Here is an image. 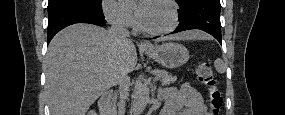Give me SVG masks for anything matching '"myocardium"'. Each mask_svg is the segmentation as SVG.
<instances>
[{
	"mask_svg": "<svg viewBox=\"0 0 285 115\" xmlns=\"http://www.w3.org/2000/svg\"><path fill=\"white\" fill-rule=\"evenodd\" d=\"M154 1H161L166 3L170 9H171V15H172V24L165 29L162 30H149L147 28H145L142 23L139 24V29L148 34V35H152V36H162V35H166L169 34L171 32H173L178 24H179V10H178V5L176 4L175 1L173 0H154ZM154 1H150V2H154Z\"/></svg>",
	"mask_w": 285,
	"mask_h": 115,
	"instance_id": "myocardium-1",
	"label": "myocardium"
}]
</instances>
